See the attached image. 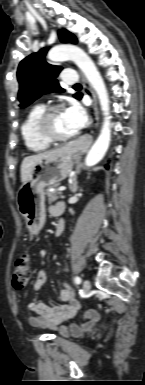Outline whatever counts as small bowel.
Returning a JSON list of instances; mask_svg holds the SVG:
<instances>
[{
	"mask_svg": "<svg viewBox=\"0 0 145 385\" xmlns=\"http://www.w3.org/2000/svg\"><path fill=\"white\" fill-rule=\"evenodd\" d=\"M63 203L53 205L50 213L53 216L61 214ZM47 279V273L44 269L37 272L33 288L38 290ZM59 299L63 303L57 306H49L45 303L33 299L26 307V311L31 313L29 322L31 325L48 328L58 331L63 336H80L84 331L91 329L99 320L100 314L96 310H87L84 312L79 323L71 320L77 315L81 308L80 302L74 297V292L66 284H63Z\"/></svg>",
	"mask_w": 145,
	"mask_h": 385,
	"instance_id": "obj_1",
	"label": "small bowel"
}]
</instances>
